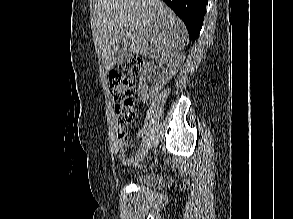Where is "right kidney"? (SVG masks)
Masks as SVG:
<instances>
[{
  "label": "right kidney",
  "mask_w": 293,
  "mask_h": 219,
  "mask_svg": "<svg viewBox=\"0 0 293 219\" xmlns=\"http://www.w3.org/2000/svg\"><path fill=\"white\" fill-rule=\"evenodd\" d=\"M183 60L184 56L182 54H171L161 57L160 63L166 64L167 68L162 72V76H160V86L156 83V92H158V90H161V88H163V86L170 79H172L173 76H175ZM155 68L156 66L154 65V62H149L143 66L142 75L140 77L138 87L139 95L143 100H147L152 94V91L146 84V79L148 78V74L154 71Z\"/></svg>",
  "instance_id": "right-kidney-1"
}]
</instances>
